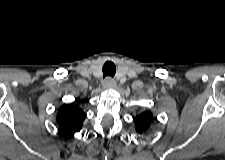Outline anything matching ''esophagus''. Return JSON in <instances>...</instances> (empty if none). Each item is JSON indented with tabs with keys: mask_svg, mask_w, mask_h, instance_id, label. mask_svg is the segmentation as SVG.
Segmentation results:
<instances>
[{
	"mask_svg": "<svg viewBox=\"0 0 225 160\" xmlns=\"http://www.w3.org/2000/svg\"><path fill=\"white\" fill-rule=\"evenodd\" d=\"M117 86L116 81L110 77L105 78L103 82V88L109 89V88H115Z\"/></svg>",
	"mask_w": 225,
	"mask_h": 160,
	"instance_id": "obj_1",
	"label": "esophagus"
}]
</instances>
